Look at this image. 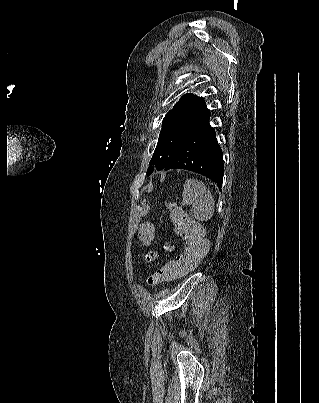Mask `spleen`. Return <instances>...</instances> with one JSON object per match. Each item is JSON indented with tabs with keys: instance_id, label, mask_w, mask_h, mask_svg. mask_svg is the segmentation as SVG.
I'll return each instance as SVG.
<instances>
[{
	"instance_id": "3e777b00",
	"label": "spleen",
	"mask_w": 319,
	"mask_h": 403,
	"mask_svg": "<svg viewBox=\"0 0 319 403\" xmlns=\"http://www.w3.org/2000/svg\"><path fill=\"white\" fill-rule=\"evenodd\" d=\"M183 188V202L192 205V217L202 222L211 219L215 201L206 185L197 179L189 178L186 179Z\"/></svg>"
}]
</instances>
